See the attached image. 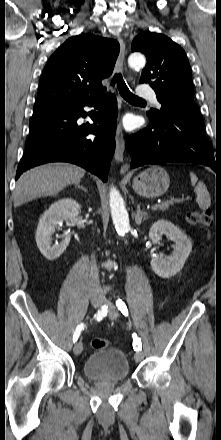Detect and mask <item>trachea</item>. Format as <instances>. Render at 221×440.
Returning a JSON list of instances; mask_svg holds the SVG:
<instances>
[{"label": "trachea", "instance_id": "3493384b", "mask_svg": "<svg viewBox=\"0 0 221 440\" xmlns=\"http://www.w3.org/2000/svg\"><path fill=\"white\" fill-rule=\"evenodd\" d=\"M115 84H117V87L119 89L121 96L126 101H128V102H145V100L137 97L129 90V88L127 87V85H126V83L120 73L115 74L112 81H111V85H115Z\"/></svg>", "mask_w": 221, "mask_h": 440}]
</instances>
